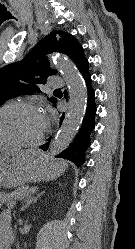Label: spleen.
Returning a JSON list of instances; mask_svg holds the SVG:
<instances>
[{
    "label": "spleen",
    "instance_id": "1",
    "mask_svg": "<svg viewBox=\"0 0 135 249\" xmlns=\"http://www.w3.org/2000/svg\"><path fill=\"white\" fill-rule=\"evenodd\" d=\"M61 163H62L64 166H66V163H65L64 161H61Z\"/></svg>",
    "mask_w": 135,
    "mask_h": 249
}]
</instances>
